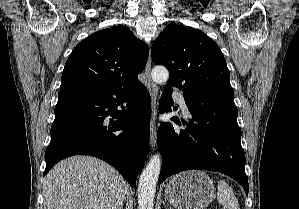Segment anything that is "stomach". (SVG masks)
<instances>
[{
  "instance_id": "stomach-1",
  "label": "stomach",
  "mask_w": 299,
  "mask_h": 209,
  "mask_svg": "<svg viewBox=\"0 0 299 209\" xmlns=\"http://www.w3.org/2000/svg\"><path fill=\"white\" fill-rule=\"evenodd\" d=\"M214 193L213 181L200 170L174 176L165 188V198L176 209H204L213 201Z\"/></svg>"
}]
</instances>
